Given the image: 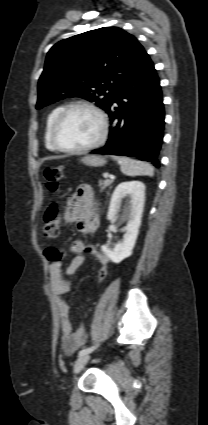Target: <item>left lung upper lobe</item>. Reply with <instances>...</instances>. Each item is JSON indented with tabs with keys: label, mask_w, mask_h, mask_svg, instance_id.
Here are the masks:
<instances>
[{
	"label": "left lung upper lobe",
	"mask_w": 208,
	"mask_h": 425,
	"mask_svg": "<svg viewBox=\"0 0 208 425\" xmlns=\"http://www.w3.org/2000/svg\"><path fill=\"white\" fill-rule=\"evenodd\" d=\"M146 55L138 40L118 27L64 39L47 54L36 108L78 96L106 110L118 87L134 75Z\"/></svg>",
	"instance_id": "left-lung-upper-lobe-1"
}]
</instances>
